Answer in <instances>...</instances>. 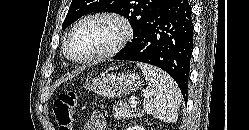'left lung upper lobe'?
Here are the masks:
<instances>
[{
	"label": "left lung upper lobe",
	"mask_w": 249,
	"mask_h": 130,
	"mask_svg": "<svg viewBox=\"0 0 249 130\" xmlns=\"http://www.w3.org/2000/svg\"><path fill=\"white\" fill-rule=\"evenodd\" d=\"M165 0H72L62 29L92 12H114L126 17L133 29V39L144 22Z\"/></svg>",
	"instance_id": "1"
}]
</instances>
